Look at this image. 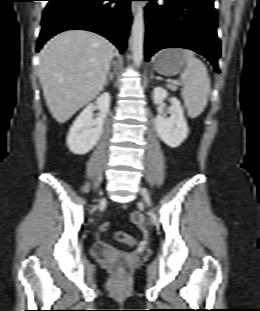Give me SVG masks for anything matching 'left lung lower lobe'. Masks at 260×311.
Listing matches in <instances>:
<instances>
[{"label": "left lung lower lobe", "mask_w": 260, "mask_h": 311, "mask_svg": "<svg viewBox=\"0 0 260 311\" xmlns=\"http://www.w3.org/2000/svg\"><path fill=\"white\" fill-rule=\"evenodd\" d=\"M146 7V60L158 50L180 47L205 56L218 71L220 41L216 33L214 0H148Z\"/></svg>", "instance_id": "0a47b994"}]
</instances>
